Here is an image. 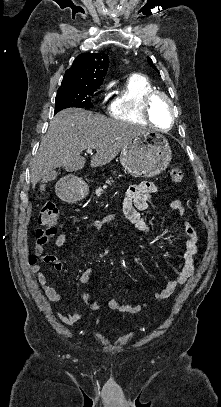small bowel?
<instances>
[{"mask_svg":"<svg viewBox=\"0 0 221 407\" xmlns=\"http://www.w3.org/2000/svg\"><path fill=\"white\" fill-rule=\"evenodd\" d=\"M158 192H160V188L152 182H142L138 185H133L126 191L123 201L122 211L124 218L117 215H110L103 219L90 221L84 226L83 231L85 233H92L102 229L108 224H115L118 226L131 228L141 233L148 232L149 227L143 220L141 212L147 211L150 201ZM170 207L176 211L178 216L182 219V228L187 236V239L181 261L177 266L176 276L170 282H168L164 288L155 293V300H161L169 297L174 293L178 286L188 281V279L193 275L195 257L199 249L198 233L191 223L185 218L186 210L182 202L180 200H173L170 203ZM48 241L49 238L43 239L39 238L38 236L36 237V242L32 253L28 257V265L30 267V271L36 275L37 284L42 289L46 298L53 303H64L67 301V297L56 288L49 285L48 278L42 271V264H51L54 270L57 272H62L64 269L62 262L56 255L45 253V245ZM66 242L67 236L65 234H60L57 237L55 244L58 248H60L64 246ZM92 277L93 269L87 268L80 275L79 282L82 284L89 283L92 280ZM83 299L85 302L87 300H92L99 305V302L93 298H90L88 294H84ZM107 305L112 310L122 313L135 314L146 308L148 303L126 304L117 299H110ZM83 316L84 314L82 312L58 314L59 319L68 325H72L80 321ZM166 326L167 323L162 324V327Z\"/></svg>","mask_w":221,"mask_h":407,"instance_id":"obj_1","label":"small bowel"}]
</instances>
